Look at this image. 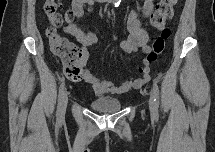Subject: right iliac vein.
<instances>
[{
  "mask_svg": "<svg viewBox=\"0 0 215 152\" xmlns=\"http://www.w3.org/2000/svg\"><path fill=\"white\" fill-rule=\"evenodd\" d=\"M68 97H69V94L68 92H66L64 95H63V98H62V102H61V118L64 117V114H65V111H66V107H67V103H68Z\"/></svg>",
  "mask_w": 215,
  "mask_h": 152,
  "instance_id": "right-iliac-vein-1",
  "label": "right iliac vein"
}]
</instances>
